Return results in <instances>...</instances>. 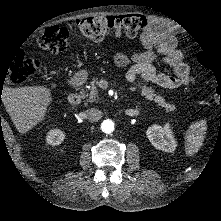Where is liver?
Segmentation results:
<instances>
[{"label": "liver", "instance_id": "obj_1", "mask_svg": "<svg viewBox=\"0 0 221 221\" xmlns=\"http://www.w3.org/2000/svg\"><path fill=\"white\" fill-rule=\"evenodd\" d=\"M4 100L5 110L20 133L38 122L50 101L48 91L37 87L6 89Z\"/></svg>", "mask_w": 221, "mask_h": 221}]
</instances>
